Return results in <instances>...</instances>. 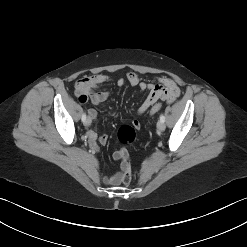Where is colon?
<instances>
[{
	"label": "colon",
	"mask_w": 247,
	"mask_h": 247,
	"mask_svg": "<svg viewBox=\"0 0 247 247\" xmlns=\"http://www.w3.org/2000/svg\"><path fill=\"white\" fill-rule=\"evenodd\" d=\"M162 107V103L156 102L152 105L150 113L152 115L158 113ZM139 128L137 121H133L131 125H126L118 130V140L122 145L133 144L136 139V130ZM121 157L122 175L121 180L124 184H129L132 179L131 167L129 162V154L125 148L119 150Z\"/></svg>",
	"instance_id": "colon-1"
}]
</instances>
